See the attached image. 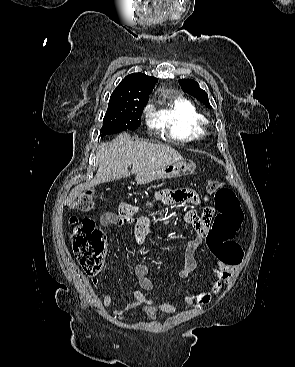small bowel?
Here are the masks:
<instances>
[{"label":"small bowel","mask_w":295,"mask_h":367,"mask_svg":"<svg viewBox=\"0 0 295 367\" xmlns=\"http://www.w3.org/2000/svg\"><path fill=\"white\" fill-rule=\"evenodd\" d=\"M157 199L165 203H196L199 201L198 195L189 189L163 191L157 195ZM137 208L136 205L123 203L116 212L104 213L100 218V223L103 227L122 226L126 223H132L134 225V241L137 245H141L154 222L150 217L136 218L135 213ZM180 213L181 217L184 218V222L193 231V236L188 240L184 252L183 266L178 272L179 277L184 279L189 277L197 268L196 252L201 246L202 241L208 238L214 210L212 208H206V210L199 215V208H181ZM210 250L215 256V264L211 267L214 279L208 283L211 292H194L179 296L178 300L182 301L186 306H192L195 303L208 304L211 301L212 294L220 293L223 287L229 283L236 271L238 264H229L223 261L212 248H210ZM148 274L149 265L146 263H139L134 269V275L138 285L144 291H151L154 287L153 281ZM92 282L95 287L99 286L98 278L94 277ZM142 290H134V300L123 307L115 309L113 314L115 316H121L126 311L143 303L155 305L166 313L175 312L176 307L173 304L155 303L147 299ZM102 305L106 308L110 307L112 305V297L110 295H105L102 298Z\"/></svg>","instance_id":"c3829d8e"}]
</instances>
